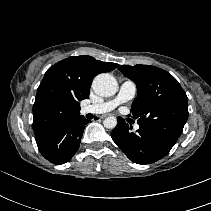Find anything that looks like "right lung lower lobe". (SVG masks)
Instances as JSON below:
<instances>
[{"label":"right lung lower lobe","instance_id":"98d812e1","mask_svg":"<svg viewBox=\"0 0 211 211\" xmlns=\"http://www.w3.org/2000/svg\"><path fill=\"white\" fill-rule=\"evenodd\" d=\"M87 123L79 115L35 136L40 153L56 165L68 162L79 148Z\"/></svg>","mask_w":211,"mask_h":211}]
</instances>
